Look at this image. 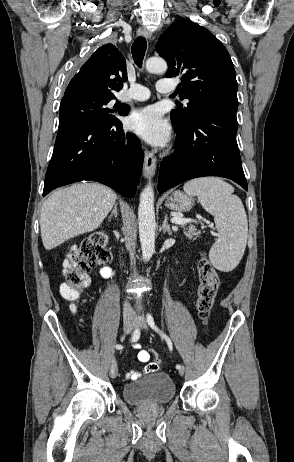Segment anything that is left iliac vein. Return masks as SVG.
I'll return each instance as SVG.
<instances>
[{"label": "left iliac vein", "instance_id": "left-iliac-vein-1", "mask_svg": "<svg viewBox=\"0 0 294 462\" xmlns=\"http://www.w3.org/2000/svg\"><path fill=\"white\" fill-rule=\"evenodd\" d=\"M133 326L140 328V329H147L145 318L142 315H134ZM184 372L185 370H184V367L182 366L179 369V374L182 376L184 375Z\"/></svg>", "mask_w": 294, "mask_h": 462}]
</instances>
